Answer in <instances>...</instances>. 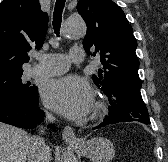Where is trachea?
I'll return each instance as SVG.
<instances>
[{"label": "trachea", "instance_id": "1", "mask_svg": "<svg viewBox=\"0 0 168 162\" xmlns=\"http://www.w3.org/2000/svg\"><path fill=\"white\" fill-rule=\"evenodd\" d=\"M66 0H56L55 8L53 12V28L57 35H59L61 22H62V13L64 9Z\"/></svg>", "mask_w": 168, "mask_h": 162}]
</instances>
